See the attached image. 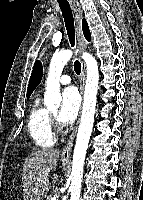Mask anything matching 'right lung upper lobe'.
Returning a JSON list of instances; mask_svg holds the SVG:
<instances>
[{
	"label": "right lung upper lobe",
	"mask_w": 143,
	"mask_h": 200,
	"mask_svg": "<svg viewBox=\"0 0 143 200\" xmlns=\"http://www.w3.org/2000/svg\"><path fill=\"white\" fill-rule=\"evenodd\" d=\"M82 30L87 41H90L91 36H90L89 28H88L87 22L84 19L82 20ZM42 72H43V67H42L41 62L36 61L34 64L33 71L30 77L29 85H28L27 98L30 97L33 90L40 83L42 79Z\"/></svg>",
	"instance_id": "obj_1"
}]
</instances>
